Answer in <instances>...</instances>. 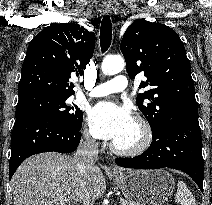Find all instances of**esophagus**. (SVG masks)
<instances>
[{
  "label": "esophagus",
  "mask_w": 212,
  "mask_h": 205,
  "mask_svg": "<svg viewBox=\"0 0 212 205\" xmlns=\"http://www.w3.org/2000/svg\"><path fill=\"white\" fill-rule=\"evenodd\" d=\"M102 11L105 14H111V12H112V6H111V4L104 3L102 5ZM110 172L113 173V174H115V173H117V170L115 168H110Z\"/></svg>",
  "instance_id": "esophagus-1"
}]
</instances>
